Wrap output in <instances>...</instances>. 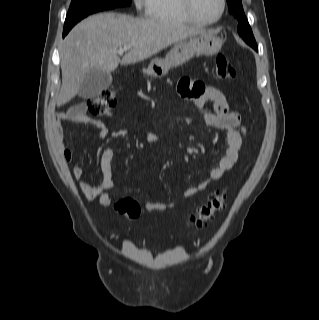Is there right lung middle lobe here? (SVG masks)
<instances>
[{
    "mask_svg": "<svg viewBox=\"0 0 319 320\" xmlns=\"http://www.w3.org/2000/svg\"><path fill=\"white\" fill-rule=\"evenodd\" d=\"M132 0H72L64 29L72 28L86 16L103 10L129 6Z\"/></svg>",
    "mask_w": 319,
    "mask_h": 320,
    "instance_id": "right-lung-middle-lobe-1",
    "label": "right lung middle lobe"
}]
</instances>
